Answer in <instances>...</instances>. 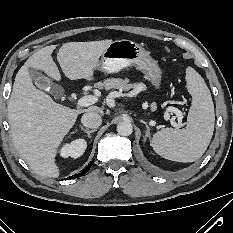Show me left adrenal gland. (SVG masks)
<instances>
[{
  "label": "left adrenal gland",
  "instance_id": "1",
  "mask_svg": "<svg viewBox=\"0 0 233 233\" xmlns=\"http://www.w3.org/2000/svg\"><path fill=\"white\" fill-rule=\"evenodd\" d=\"M141 122L143 124H145V126H146V134H145V140H146L147 138H150V129H149V126L147 125V123L145 121L141 120Z\"/></svg>",
  "mask_w": 233,
  "mask_h": 233
}]
</instances>
